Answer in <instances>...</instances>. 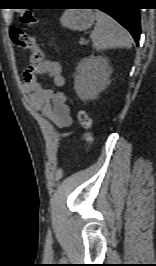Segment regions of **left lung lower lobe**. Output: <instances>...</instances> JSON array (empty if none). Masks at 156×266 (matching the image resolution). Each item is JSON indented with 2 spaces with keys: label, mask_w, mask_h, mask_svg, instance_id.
I'll list each match as a JSON object with an SVG mask.
<instances>
[{
  "label": "left lung lower lobe",
  "mask_w": 156,
  "mask_h": 266,
  "mask_svg": "<svg viewBox=\"0 0 156 266\" xmlns=\"http://www.w3.org/2000/svg\"><path fill=\"white\" fill-rule=\"evenodd\" d=\"M88 4L93 6H104L100 8V10L112 16L124 26L132 34L138 45L141 34L140 13L138 8L131 7L129 3L127 5H118L117 0H104L100 2L94 0V2Z\"/></svg>",
  "instance_id": "obj_1"
}]
</instances>
